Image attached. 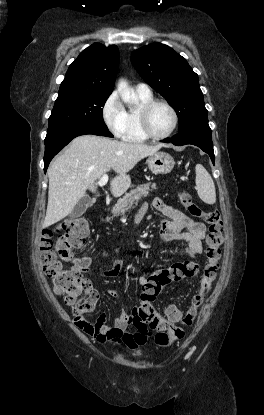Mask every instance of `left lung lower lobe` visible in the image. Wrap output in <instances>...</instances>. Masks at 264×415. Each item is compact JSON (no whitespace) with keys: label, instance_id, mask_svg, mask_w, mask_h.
Instances as JSON below:
<instances>
[{"label":"left lung lower lobe","instance_id":"left-lung-lower-lobe-1","mask_svg":"<svg viewBox=\"0 0 264 415\" xmlns=\"http://www.w3.org/2000/svg\"><path fill=\"white\" fill-rule=\"evenodd\" d=\"M162 142H171L177 146L186 144L198 146L210 156L214 164L213 143L211 138V129L208 125V121L194 123L182 131H179L178 134L172 138L165 139Z\"/></svg>","mask_w":264,"mask_h":415}]
</instances>
